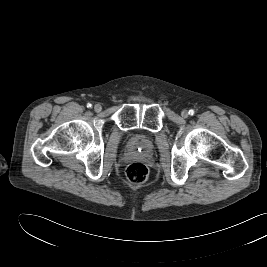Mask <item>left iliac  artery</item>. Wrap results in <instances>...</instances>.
Segmentation results:
<instances>
[{
  "instance_id": "44dca946",
  "label": "left iliac artery",
  "mask_w": 267,
  "mask_h": 267,
  "mask_svg": "<svg viewBox=\"0 0 267 267\" xmlns=\"http://www.w3.org/2000/svg\"><path fill=\"white\" fill-rule=\"evenodd\" d=\"M188 113H189V115L193 116L195 111L193 109H190Z\"/></svg>"
}]
</instances>
